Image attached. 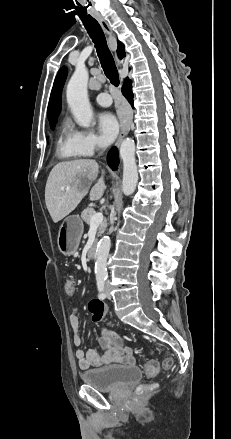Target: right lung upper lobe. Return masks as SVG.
<instances>
[{
  "label": "right lung upper lobe",
  "instance_id": "1",
  "mask_svg": "<svg viewBox=\"0 0 231 439\" xmlns=\"http://www.w3.org/2000/svg\"><path fill=\"white\" fill-rule=\"evenodd\" d=\"M117 53L119 58H123L125 56V49L122 42L118 41V49ZM67 75V69L63 67L56 76L54 81V85L52 88V92L50 95V100L48 104V119L50 126H55L57 122V116L60 113L61 109V91L64 85L65 79Z\"/></svg>",
  "mask_w": 231,
  "mask_h": 439
}]
</instances>
